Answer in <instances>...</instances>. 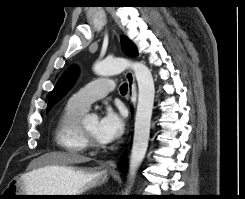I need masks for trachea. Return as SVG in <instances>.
I'll return each instance as SVG.
<instances>
[{
    "instance_id": "3493384b",
    "label": "trachea",
    "mask_w": 245,
    "mask_h": 199,
    "mask_svg": "<svg viewBox=\"0 0 245 199\" xmlns=\"http://www.w3.org/2000/svg\"><path fill=\"white\" fill-rule=\"evenodd\" d=\"M127 89H128V86H127L126 83L123 84V85H121V87H120V93H121L122 95H125V94L127 93Z\"/></svg>"
}]
</instances>
